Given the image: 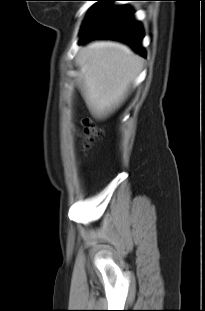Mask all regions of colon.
<instances>
[{"mask_svg": "<svg viewBox=\"0 0 205 311\" xmlns=\"http://www.w3.org/2000/svg\"><path fill=\"white\" fill-rule=\"evenodd\" d=\"M85 144L84 148H88L98 137L99 130L90 122L86 121L84 124Z\"/></svg>", "mask_w": 205, "mask_h": 311, "instance_id": "obj_1", "label": "colon"}]
</instances>
